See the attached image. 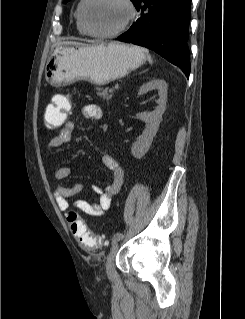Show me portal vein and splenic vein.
<instances>
[{
  "instance_id": "1",
  "label": "portal vein and splenic vein",
  "mask_w": 245,
  "mask_h": 319,
  "mask_svg": "<svg viewBox=\"0 0 245 319\" xmlns=\"http://www.w3.org/2000/svg\"><path fill=\"white\" fill-rule=\"evenodd\" d=\"M114 90H115L114 87H111V88L109 89L110 92H113Z\"/></svg>"
}]
</instances>
